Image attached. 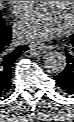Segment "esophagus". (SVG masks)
I'll return each instance as SVG.
<instances>
[{
  "label": "esophagus",
  "mask_w": 74,
  "mask_h": 122,
  "mask_svg": "<svg viewBox=\"0 0 74 122\" xmlns=\"http://www.w3.org/2000/svg\"><path fill=\"white\" fill-rule=\"evenodd\" d=\"M29 48H30L31 52L45 51V50L50 49L49 46H45V45H41V44H37V43L30 44Z\"/></svg>",
  "instance_id": "34e87169"
}]
</instances>
